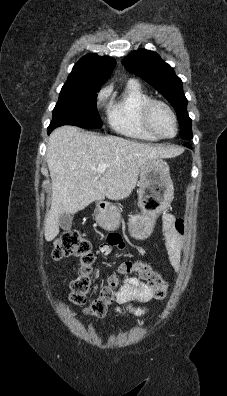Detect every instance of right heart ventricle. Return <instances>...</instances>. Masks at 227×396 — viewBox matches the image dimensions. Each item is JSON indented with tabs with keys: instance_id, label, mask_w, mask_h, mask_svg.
Wrapping results in <instances>:
<instances>
[{
	"instance_id": "obj_1",
	"label": "right heart ventricle",
	"mask_w": 227,
	"mask_h": 396,
	"mask_svg": "<svg viewBox=\"0 0 227 396\" xmlns=\"http://www.w3.org/2000/svg\"><path fill=\"white\" fill-rule=\"evenodd\" d=\"M151 97L135 80H129L123 91L114 97L108 107V122L111 128L128 138L156 141L142 121V108Z\"/></svg>"
}]
</instances>
